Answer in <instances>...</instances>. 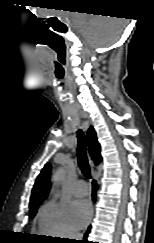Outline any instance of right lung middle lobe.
Returning <instances> with one entry per match:
<instances>
[{
  "mask_svg": "<svg viewBox=\"0 0 154 243\" xmlns=\"http://www.w3.org/2000/svg\"><path fill=\"white\" fill-rule=\"evenodd\" d=\"M37 208H38V206L30 208V214L32 215V217L36 214Z\"/></svg>",
  "mask_w": 154,
  "mask_h": 243,
  "instance_id": "obj_1",
  "label": "right lung middle lobe"
}]
</instances>
